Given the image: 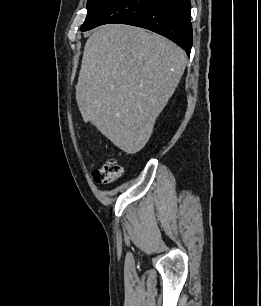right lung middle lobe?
Listing matches in <instances>:
<instances>
[{
	"label": "right lung middle lobe",
	"instance_id": "1",
	"mask_svg": "<svg viewBox=\"0 0 261 306\" xmlns=\"http://www.w3.org/2000/svg\"><path fill=\"white\" fill-rule=\"evenodd\" d=\"M112 1L113 0H88V13L81 29L89 25Z\"/></svg>",
	"mask_w": 261,
	"mask_h": 306
}]
</instances>
